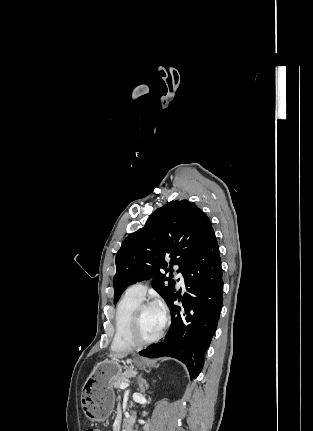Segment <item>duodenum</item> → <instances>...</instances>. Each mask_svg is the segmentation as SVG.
I'll use <instances>...</instances> for the list:
<instances>
[{
	"label": "duodenum",
	"mask_w": 313,
	"mask_h": 431,
	"mask_svg": "<svg viewBox=\"0 0 313 431\" xmlns=\"http://www.w3.org/2000/svg\"><path fill=\"white\" fill-rule=\"evenodd\" d=\"M134 417H128L124 420L122 431H133Z\"/></svg>",
	"instance_id": "1"
}]
</instances>
